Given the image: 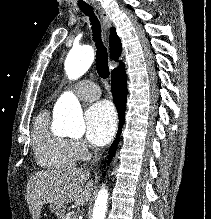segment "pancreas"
Returning <instances> with one entry per match:
<instances>
[{
  "label": "pancreas",
  "mask_w": 211,
  "mask_h": 219,
  "mask_svg": "<svg viewBox=\"0 0 211 219\" xmlns=\"http://www.w3.org/2000/svg\"><path fill=\"white\" fill-rule=\"evenodd\" d=\"M61 219H77V218H76V214L68 213L66 215L61 216Z\"/></svg>",
  "instance_id": "pancreas-1"
}]
</instances>
